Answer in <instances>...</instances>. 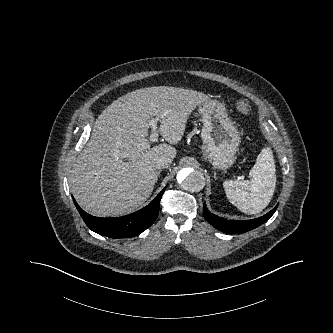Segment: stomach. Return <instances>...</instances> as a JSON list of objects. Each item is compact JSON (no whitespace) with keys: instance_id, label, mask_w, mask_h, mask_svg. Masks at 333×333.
<instances>
[{"instance_id":"stomach-1","label":"stomach","mask_w":333,"mask_h":333,"mask_svg":"<svg viewBox=\"0 0 333 333\" xmlns=\"http://www.w3.org/2000/svg\"><path fill=\"white\" fill-rule=\"evenodd\" d=\"M199 113L203 122V155L214 168L225 170L235 161L240 134L223 103L209 98L199 105Z\"/></svg>"}]
</instances>
